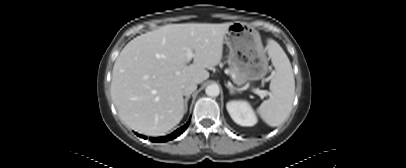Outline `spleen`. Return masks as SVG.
Wrapping results in <instances>:
<instances>
[{
	"label": "spleen",
	"instance_id": "1",
	"mask_svg": "<svg viewBox=\"0 0 406 168\" xmlns=\"http://www.w3.org/2000/svg\"><path fill=\"white\" fill-rule=\"evenodd\" d=\"M267 50L276 73L270 82L271 96L257 109L260 117L271 127L283 123L289 116L295 95V79L291 63L274 40H269Z\"/></svg>",
	"mask_w": 406,
	"mask_h": 168
}]
</instances>
